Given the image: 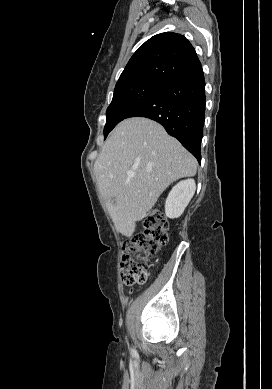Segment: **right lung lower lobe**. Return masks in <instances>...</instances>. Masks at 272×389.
Wrapping results in <instances>:
<instances>
[{"label":"right lung lower lobe","instance_id":"obj_1","mask_svg":"<svg viewBox=\"0 0 272 389\" xmlns=\"http://www.w3.org/2000/svg\"><path fill=\"white\" fill-rule=\"evenodd\" d=\"M205 98L204 74L200 66L167 83L133 108L126 118L139 116L159 122L200 162Z\"/></svg>","mask_w":272,"mask_h":389}]
</instances>
